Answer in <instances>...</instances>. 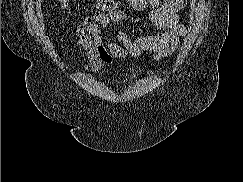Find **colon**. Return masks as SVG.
Masks as SVG:
<instances>
[{
	"mask_svg": "<svg viewBox=\"0 0 243 182\" xmlns=\"http://www.w3.org/2000/svg\"><path fill=\"white\" fill-rule=\"evenodd\" d=\"M62 7H67L69 0H57ZM119 0H95V8L98 12L108 13L117 10Z\"/></svg>",
	"mask_w": 243,
	"mask_h": 182,
	"instance_id": "colon-1",
	"label": "colon"
}]
</instances>
